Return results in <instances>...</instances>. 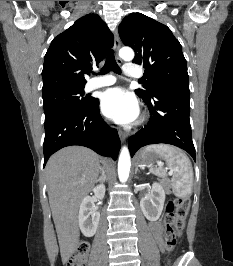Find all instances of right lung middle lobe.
<instances>
[{"label": "right lung middle lobe", "instance_id": "1", "mask_svg": "<svg viewBox=\"0 0 233 266\" xmlns=\"http://www.w3.org/2000/svg\"><path fill=\"white\" fill-rule=\"evenodd\" d=\"M83 95L84 88L61 89L43 94L45 119L63 111L86 108L93 98L83 97Z\"/></svg>", "mask_w": 233, "mask_h": 266}]
</instances>
